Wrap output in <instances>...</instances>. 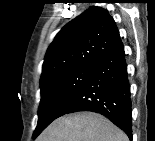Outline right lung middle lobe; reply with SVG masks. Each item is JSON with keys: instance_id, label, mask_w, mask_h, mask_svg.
Instances as JSON below:
<instances>
[{"instance_id": "dd1d6c3e", "label": "right lung middle lobe", "mask_w": 155, "mask_h": 141, "mask_svg": "<svg viewBox=\"0 0 155 141\" xmlns=\"http://www.w3.org/2000/svg\"><path fill=\"white\" fill-rule=\"evenodd\" d=\"M94 68H75L55 74L41 82V101L38 124L32 138L35 139L74 97L92 74Z\"/></svg>"}]
</instances>
